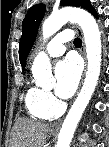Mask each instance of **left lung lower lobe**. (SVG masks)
I'll use <instances>...</instances> for the list:
<instances>
[{
  "instance_id": "1",
  "label": "left lung lower lobe",
  "mask_w": 109,
  "mask_h": 147,
  "mask_svg": "<svg viewBox=\"0 0 109 147\" xmlns=\"http://www.w3.org/2000/svg\"><path fill=\"white\" fill-rule=\"evenodd\" d=\"M90 13L93 14L96 18L98 17L94 8L90 10Z\"/></svg>"
}]
</instances>
